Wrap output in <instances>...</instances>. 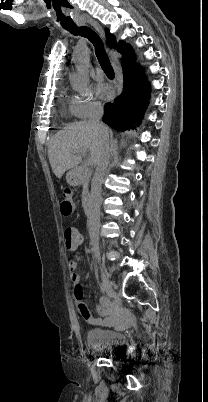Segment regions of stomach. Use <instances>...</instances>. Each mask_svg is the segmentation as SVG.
Returning <instances> with one entry per match:
<instances>
[{
	"mask_svg": "<svg viewBox=\"0 0 208 402\" xmlns=\"http://www.w3.org/2000/svg\"><path fill=\"white\" fill-rule=\"evenodd\" d=\"M66 182L67 184H70V186H79L81 178H79L76 170H70V172H67Z\"/></svg>",
	"mask_w": 208,
	"mask_h": 402,
	"instance_id": "1",
	"label": "stomach"
}]
</instances>
